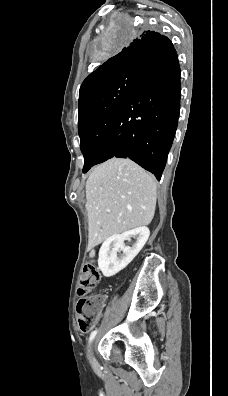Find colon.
Listing matches in <instances>:
<instances>
[{
  "label": "colon",
  "mask_w": 228,
  "mask_h": 396,
  "mask_svg": "<svg viewBox=\"0 0 228 396\" xmlns=\"http://www.w3.org/2000/svg\"><path fill=\"white\" fill-rule=\"evenodd\" d=\"M100 278V271L94 261L87 263L81 271L78 294L83 297L77 303V314L78 325L82 332H88L94 327L104 306L103 296H87L98 284Z\"/></svg>",
  "instance_id": "obj_1"
}]
</instances>
